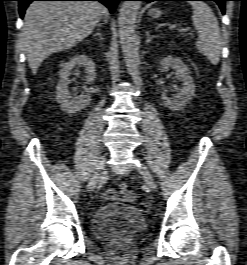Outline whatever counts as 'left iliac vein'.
Returning a JSON list of instances; mask_svg holds the SVG:
<instances>
[{"label":"left iliac vein","instance_id":"obj_1","mask_svg":"<svg viewBox=\"0 0 247 265\" xmlns=\"http://www.w3.org/2000/svg\"><path fill=\"white\" fill-rule=\"evenodd\" d=\"M138 170L142 174V176H143L146 184L148 185V187L151 188V189L155 188V184H154V181L152 179V176H151V173H150L149 169L144 164H141L138 167Z\"/></svg>","mask_w":247,"mask_h":265}]
</instances>
